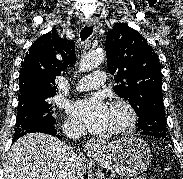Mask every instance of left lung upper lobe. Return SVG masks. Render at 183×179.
Returning a JSON list of instances; mask_svg holds the SVG:
<instances>
[{
    "mask_svg": "<svg viewBox=\"0 0 183 179\" xmlns=\"http://www.w3.org/2000/svg\"><path fill=\"white\" fill-rule=\"evenodd\" d=\"M107 66L114 75L115 92L129 101L141 134L169 137L162 98L161 65L157 54L136 30L117 23L108 32Z\"/></svg>",
    "mask_w": 183,
    "mask_h": 179,
    "instance_id": "5c2ea615",
    "label": "left lung upper lobe"
}]
</instances>
